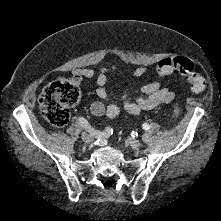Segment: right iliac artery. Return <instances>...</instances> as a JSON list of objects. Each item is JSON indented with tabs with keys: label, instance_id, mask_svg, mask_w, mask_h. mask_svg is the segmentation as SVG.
I'll return each instance as SVG.
<instances>
[{
	"label": "right iliac artery",
	"instance_id": "82829eb1",
	"mask_svg": "<svg viewBox=\"0 0 221 221\" xmlns=\"http://www.w3.org/2000/svg\"><path fill=\"white\" fill-rule=\"evenodd\" d=\"M79 122L81 124V126L88 132H90V134H92L93 136L97 137V138H100V139H103V138H106L108 136H110V132L112 130H114V125H106L104 127V129L101 131V130H96V129H93L90 124L87 122L86 119H84L83 117H80L79 118Z\"/></svg>",
	"mask_w": 221,
	"mask_h": 221
}]
</instances>
